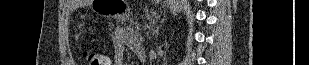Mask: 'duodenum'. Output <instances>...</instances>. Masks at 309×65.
Instances as JSON below:
<instances>
[{"mask_svg": "<svg viewBox=\"0 0 309 65\" xmlns=\"http://www.w3.org/2000/svg\"><path fill=\"white\" fill-rule=\"evenodd\" d=\"M135 54L141 62L145 60V51L142 46H139L135 49Z\"/></svg>", "mask_w": 309, "mask_h": 65, "instance_id": "duodenum-1", "label": "duodenum"}]
</instances>
